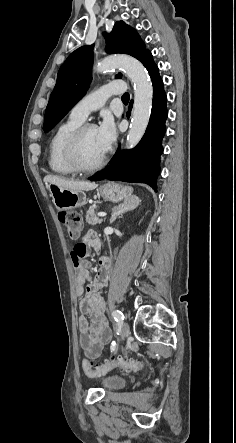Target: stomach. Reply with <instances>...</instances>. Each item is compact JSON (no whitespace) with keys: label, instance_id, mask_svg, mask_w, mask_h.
I'll use <instances>...</instances> for the list:
<instances>
[{"label":"stomach","instance_id":"stomach-1","mask_svg":"<svg viewBox=\"0 0 236 443\" xmlns=\"http://www.w3.org/2000/svg\"><path fill=\"white\" fill-rule=\"evenodd\" d=\"M55 207L60 210H72L81 207L86 202L83 190H70L54 184L48 186ZM101 196L108 201L117 203L131 196L132 188L120 184H109L100 189Z\"/></svg>","mask_w":236,"mask_h":443}]
</instances>
